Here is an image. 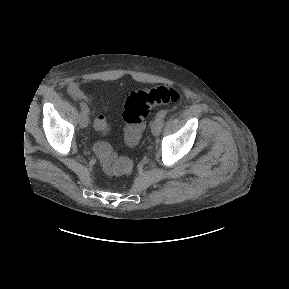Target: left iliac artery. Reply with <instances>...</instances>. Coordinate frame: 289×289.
<instances>
[{
    "mask_svg": "<svg viewBox=\"0 0 289 289\" xmlns=\"http://www.w3.org/2000/svg\"><path fill=\"white\" fill-rule=\"evenodd\" d=\"M167 114H168V110H161L157 113V117L164 119Z\"/></svg>",
    "mask_w": 289,
    "mask_h": 289,
    "instance_id": "1",
    "label": "left iliac artery"
}]
</instances>
